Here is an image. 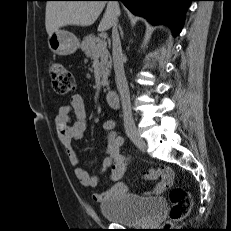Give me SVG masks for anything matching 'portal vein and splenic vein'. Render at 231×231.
<instances>
[{
    "label": "portal vein and splenic vein",
    "mask_w": 231,
    "mask_h": 231,
    "mask_svg": "<svg viewBox=\"0 0 231 231\" xmlns=\"http://www.w3.org/2000/svg\"><path fill=\"white\" fill-rule=\"evenodd\" d=\"M106 45H107L106 41L105 40H101L99 42V44H98V47L101 48V49H104V48H106Z\"/></svg>",
    "instance_id": "obj_1"
}]
</instances>
